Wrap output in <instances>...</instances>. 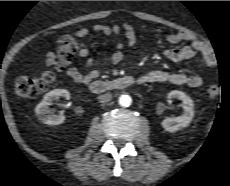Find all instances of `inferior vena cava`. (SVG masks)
<instances>
[{"instance_id":"602c4592","label":"inferior vena cava","mask_w":230,"mask_h":186,"mask_svg":"<svg viewBox=\"0 0 230 186\" xmlns=\"http://www.w3.org/2000/svg\"><path fill=\"white\" fill-rule=\"evenodd\" d=\"M112 99V95L110 93H105L103 95H100L98 97V100L101 102V103H107L109 101H111Z\"/></svg>"}]
</instances>
